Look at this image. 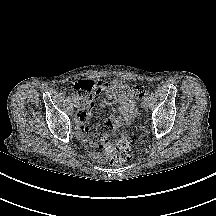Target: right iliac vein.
Returning <instances> with one entry per match:
<instances>
[{"mask_svg": "<svg viewBox=\"0 0 216 216\" xmlns=\"http://www.w3.org/2000/svg\"><path fill=\"white\" fill-rule=\"evenodd\" d=\"M74 106H75L76 108H79L80 103H79L77 100H74Z\"/></svg>", "mask_w": 216, "mask_h": 216, "instance_id": "63e3f726", "label": "right iliac vein"}]
</instances>
